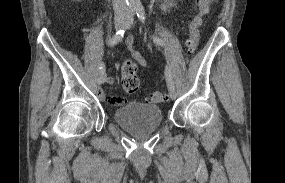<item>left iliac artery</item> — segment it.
Instances as JSON below:
<instances>
[{"label":"left iliac artery","mask_w":285,"mask_h":183,"mask_svg":"<svg viewBox=\"0 0 285 183\" xmlns=\"http://www.w3.org/2000/svg\"><path fill=\"white\" fill-rule=\"evenodd\" d=\"M136 13H137V16L139 18V20L144 23L145 21V11H144V8L142 6H139L136 8ZM153 41L154 43L160 45V46H163L164 45V41L158 37H154L153 36ZM165 78H166V82L168 85H171V86H174V81H173V78H172V75H171V71L169 69L168 66H166L165 68Z\"/></svg>","instance_id":"44dca946"}]
</instances>
